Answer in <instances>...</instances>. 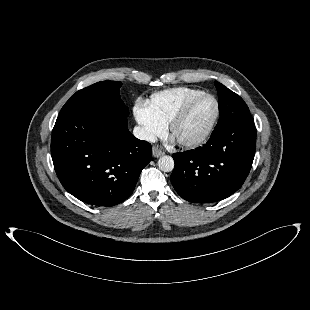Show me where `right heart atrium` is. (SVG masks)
Here are the masks:
<instances>
[{"instance_id":"right-heart-atrium-1","label":"right heart atrium","mask_w":310,"mask_h":310,"mask_svg":"<svg viewBox=\"0 0 310 310\" xmlns=\"http://www.w3.org/2000/svg\"><path fill=\"white\" fill-rule=\"evenodd\" d=\"M134 116L141 127L142 137L147 141L154 140L166 131L167 124L153 113L147 102H139L135 105Z\"/></svg>"}]
</instances>
